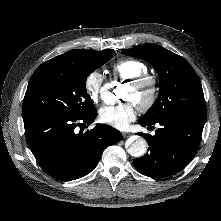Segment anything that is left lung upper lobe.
<instances>
[{"instance_id": "obj_1", "label": "left lung upper lobe", "mask_w": 221, "mask_h": 221, "mask_svg": "<svg viewBox=\"0 0 221 221\" xmlns=\"http://www.w3.org/2000/svg\"><path fill=\"white\" fill-rule=\"evenodd\" d=\"M122 53L149 62L159 75L158 98L142 120L177 117L205 122L206 105L201 82L183 57L154 43L124 49Z\"/></svg>"}]
</instances>
